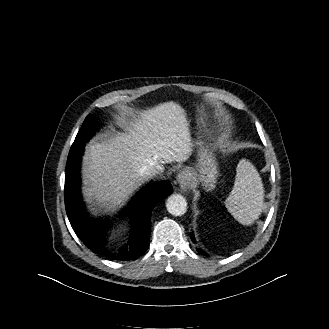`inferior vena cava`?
I'll return each instance as SVG.
<instances>
[{
    "label": "inferior vena cava",
    "mask_w": 329,
    "mask_h": 329,
    "mask_svg": "<svg viewBox=\"0 0 329 329\" xmlns=\"http://www.w3.org/2000/svg\"><path fill=\"white\" fill-rule=\"evenodd\" d=\"M163 167L159 164H151L144 166L141 170L140 173L143 178L148 179V178H153L157 174L162 173Z\"/></svg>",
    "instance_id": "inferior-vena-cava-1"
}]
</instances>
